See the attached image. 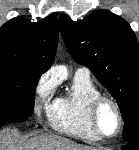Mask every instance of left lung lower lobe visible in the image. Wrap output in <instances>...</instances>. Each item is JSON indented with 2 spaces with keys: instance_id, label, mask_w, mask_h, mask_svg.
I'll return each mask as SVG.
<instances>
[{
  "instance_id": "0a47b994",
  "label": "left lung lower lobe",
  "mask_w": 139,
  "mask_h": 150,
  "mask_svg": "<svg viewBox=\"0 0 139 150\" xmlns=\"http://www.w3.org/2000/svg\"><path fill=\"white\" fill-rule=\"evenodd\" d=\"M139 140L129 141L125 146L122 147L123 150H138Z\"/></svg>"
}]
</instances>
